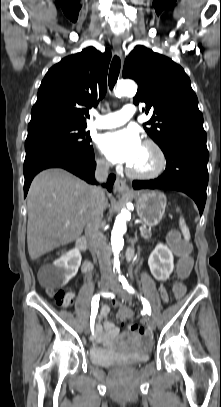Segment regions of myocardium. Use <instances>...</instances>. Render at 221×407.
<instances>
[{"instance_id":"obj_1","label":"myocardium","mask_w":221,"mask_h":407,"mask_svg":"<svg viewBox=\"0 0 221 407\" xmlns=\"http://www.w3.org/2000/svg\"><path fill=\"white\" fill-rule=\"evenodd\" d=\"M143 145L149 146L156 153V155L158 157L157 167L150 172L142 173V172H137V171L133 170L129 166L127 168V173L131 177L136 178V179H141V180H151V179L158 178L160 175L163 174V172L166 169V166H167L166 154H165L164 150L162 149V147L157 142H155L151 139L144 140Z\"/></svg>"}]
</instances>
